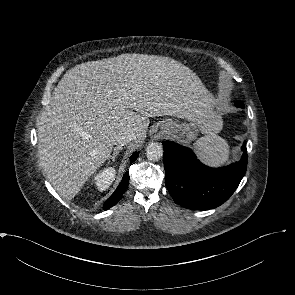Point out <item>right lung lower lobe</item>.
Wrapping results in <instances>:
<instances>
[{
	"label": "right lung lower lobe",
	"instance_id": "98d812e1",
	"mask_svg": "<svg viewBox=\"0 0 295 295\" xmlns=\"http://www.w3.org/2000/svg\"><path fill=\"white\" fill-rule=\"evenodd\" d=\"M138 157V153L134 152L133 155L130 157V162H134ZM129 183V172L127 171L124 176L122 181L120 182L119 186L115 190V192L111 195L110 198L106 200V202L103 205V209L107 210L111 207H113L118 201L120 200L122 194L126 191Z\"/></svg>",
	"mask_w": 295,
	"mask_h": 295
}]
</instances>
